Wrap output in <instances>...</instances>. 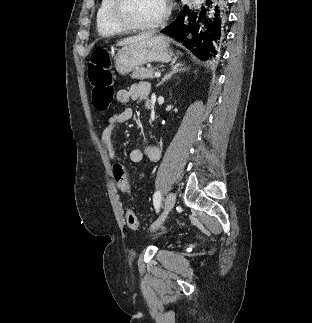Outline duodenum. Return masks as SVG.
Instances as JSON below:
<instances>
[{"label": "duodenum", "mask_w": 312, "mask_h": 323, "mask_svg": "<svg viewBox=\"0 0 312 323\" xmlns=\"http://www.w3.org/2000/svg\"><path fill=\"white\" fill-rule=\"evenodd\" d=\"M149 95L150 94H147V102H146V107H147V110L149 112H152L153 111V104H152V101L149 99Z\"/></svg>", "instance_id": "410a0bca"}]
</instances>
